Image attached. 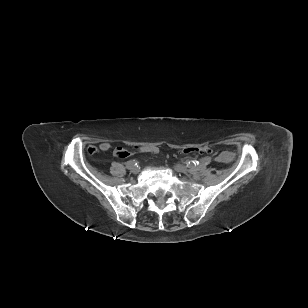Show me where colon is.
Returning <instances> with one entry per match:
<instances>
[{"label": "colon", "mask_w": 308, "mask_h": 308, "mask_svg": "<svg viewBox=\"0 0 308 308\" xmlns=\"http://www.w3.org/2000/svg\"><path fill=\"white\" fill-rule=\"evenodd\" d=\"M91 151H95L91 149ZM211 149L208 146H200V147H189L183 150L184 154H203L210 152ZM157 152V148L154 145H145V144H137L135 147L131 148H121L118 147L115 149L114 154L118 156L121 160H124L126 157L138 155L139 153L145 154H154Z\"/></svg>", "instance_id": "5ec220e1"}]
</instances>
